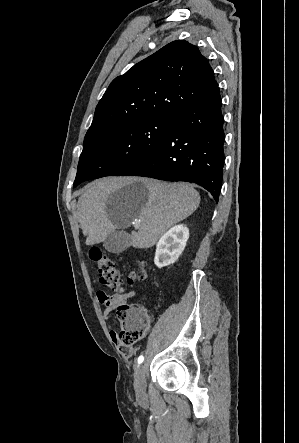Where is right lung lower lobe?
Segmentation results:
<instances>
[{"instance_id": "obj_1", "label": "right lung lower lobe", "mask_w": 299, "mask_h": 443, "mask_svg": "<svg viewBox=\"0 0 299 443\" xmlns=\"http://www.w3.org/2000/svg\"><path fill=\"white\" fill-rule=\"evenodd\" d=\"M173 130L148 155L117 176L194 182L218 202L223 179L224 131L218 85L206 97L171 116Z\"/></svg>"}]
</instances>
